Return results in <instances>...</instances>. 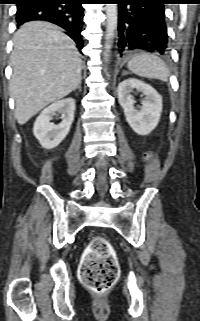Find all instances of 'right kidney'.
I'll return each instance as SVG.
<instances>
[{"label":"right kidney","mask_w":200,"mask_h":321,"mask_svg":"<svg viewBox=\"0 0 200 321\" xmlns=\"http://www.w3.org/2000/svg\"><path fill=\"white\" fill-rule=\"evenodd\" d=\"M56 112L62 114V121L58 125L50 122ZM74 112L75 101L72 98L55 101L41 112L34 123L33 133L42 147L53 149L63 141L70 131Z\"/></svg>","instance_id":"1"}]
</instances>
